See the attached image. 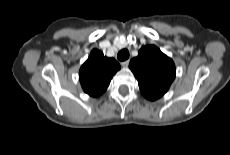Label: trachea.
I'll return each mask as SVG.
<instances>
[{
    "label": "trachea",
    "instance_id": "obj_1",
    "mask_svg": "<svg viewBox=\"0 0 230 155\" xmlns=\"http://www.w3.org/2000/svg\"><path fill=\"white\" fill-rule=\"evenodd\" d=\"M117 57L120 61H125L129 58V51L127 49H123L118 53Z\"/></svg>",
    "mask_w": 230,
    "mask_h": 155
}]
</instances>
